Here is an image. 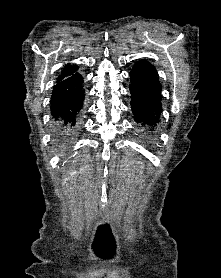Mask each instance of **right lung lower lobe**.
<instances>
[{"label":"right lung lower lobe","mask_w":221,"mask_h":278,"mask_svg":"<svg viewBox=\"0 0 221 278\" xmlns=\"http://www.w3.org/2000/svg\"><path fill=\"white\" fill-rule=\"evenodd\" d=\"M83 78L75 73L53 87L51 97V114L53 116L58 138L71 137L79 126L82 116L84 90Z\"/></svg>","instance_id":"1"}]
</instances>
